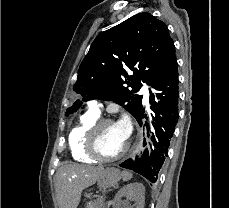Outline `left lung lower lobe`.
<instances>
[{"label": "left lung lower lobe", "mask_w": 229, "mask_h": 208, "mask_svg": "<svg viewBox=\"0 0 229 208\" xmlns=\"http://www.w3.org/2000/svg\"><path fill=\"white\" fill-rule=\"evenodd\" d=\"M179 80L177 67L160 85L153 87L150 90L149 103L151 104L152 120L151 125L154 129V135L151 137L152 145L150 149H146L140 159L133 162L131 159L126 160L121 167L132 169L147 178L150 182L155 183L157 174L168 156V148L170 140L173 137L176 123L178 122V94H179ZM145 109L142 107L134 116L140 126H142V119L146 118L144 114ZM147 136L149 137L148 124ZM146 145V140H144Z\"/></svg>", "instance_id": "0a47b994"}]
</instances>
